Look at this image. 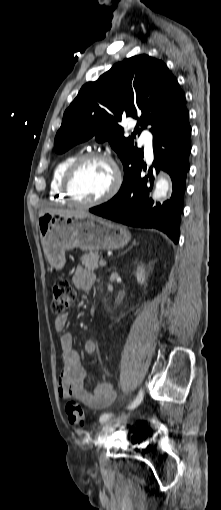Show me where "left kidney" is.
I'll use <instances>...</instances> for the list:
<instances>
[{"mask_svg": "<svg viewBox=\"0 0 221 510\" xmlns=\"http://www.w3.org/2000/svg\"><path fill=\"white\" fill-rule=\"evenodd\" d=\"M136 279H137V282L140 283V284H143L146 280V273H145V268L143 267V265H140L137 267V271H136Z\"/></svg>", "mask_w": 221, "mask_h": 510, "instance_id": "1", "label": "left kidney"}]
</instances>
